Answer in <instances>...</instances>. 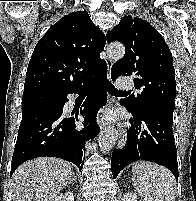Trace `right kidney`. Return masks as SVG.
<instances>
[{"label": "right kidney", "instance_id": "ca27d5eb", "mask_svg": "<svg viewBox=\"0 0 196 201\" xmlns=\"http://www.w3.org/2000/svg\"><path fill=\"white\" fill-rule=\"evenodd\" d=\"M51 201H74V195L72 192H66L64 194H59Z\"/></svg>", "mask_w": 196, "mask_h": 201}]
</instances>
